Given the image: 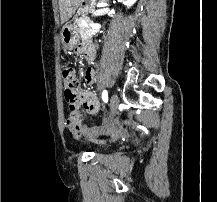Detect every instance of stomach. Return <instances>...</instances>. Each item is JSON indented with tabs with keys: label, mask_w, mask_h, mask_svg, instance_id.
Returning <instances> with one entry per match:
<instances>
[{
	"label": "stomach",
	"mask_w": 217,
	"mask_h": 202,
	"mask_svg": "<svg viewBox=\"0 0 217 202\" xmlns=\"http://www.w3.org/2000/svg\"><path fill=\"white\" fill-rule=\"evenodd\" d=\"M97 0H81L79 4V14L87 16L91 14L96 6ZM61 40L64 52H71L73 48H77L81 42V36L78 30H75L73 24H66L63 26L61 32Z\"/></svg>",
	"instance_id": "stomach-1"
}]
</instances>
